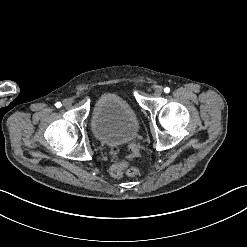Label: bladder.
I'll return each mask as SVG.
<instances>
[{"label": "bladder", "mask_w": 247, "mask_h": 247, "mask_svg": "<svg viewBox=\"0 0 247 247\" xmlns=\"http://www.w3.org/2000/svg\"><path fill=\"white\" fill-rule=\"evenodd\" d=\"M90 122L96 138L106 144H124L135 138L138 131L131 103L115 94L97 97Z\"/></svg>", "instance_id": "31cf9c89"}]
</instances>
